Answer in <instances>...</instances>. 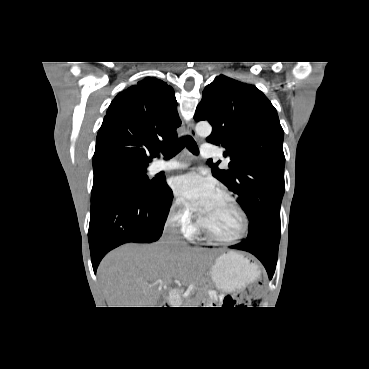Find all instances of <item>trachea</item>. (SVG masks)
<instances>
[{"instance_id":"1","label":"trachea","mask_w":369,"mask_h":369,"mask_svg":"<svg viewBox=\"0 0 369 369\" xmlns=\"http://www.w3.org/2000/svg\"><path fill=\"white\" fill-rule=\"evenodd\" d=\"M185 146L194 155L199 154L198 146L191 136L179 138L173 145L169 147H163L160 150L164 158L170 159L177 155Z\"/></svg>"}]
</instances>
